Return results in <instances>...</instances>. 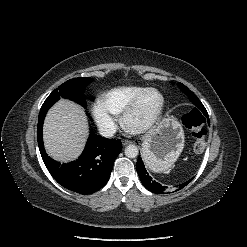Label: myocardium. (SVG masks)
I'll list each match as a JSON object with an SVG mask.
<instances>
[{"instance_id": "obj_1", "label": "myocardium", "mask_w": 247, "mask_h": 247, "mask_svg": "<svg viewBox=\"0 0 247 247\" xmlns=\"http://www.w3.org/2000/svg\"><path fill=\"white\" fill-rule=\"evenodd\" d=\"M148 92H156L161 99L159 109L155 116L146 124L140 127H133L129 123V118L133 111L136 109L137 105L139 104L140 100L144 97L145 94ZM165 108V98L163 94L156 88L149 87L141 91L138 95H136L133 100L127 105V107L124 109L122 116H121V123L123 127L130 132L131 134L134 135H140V134H145L148 131H150L161 119L163 112Z\"/></svg>"}]
</instances>
